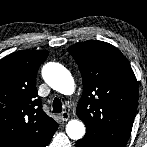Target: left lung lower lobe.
I'll return each instance as SVG.
<instances>
[{
    "label": "left lung lower lobe",
    "instance_id": "0a47b994",
    "mask_svg": "<svg viewBox=\"0 0 147 147\" xmlns=\"http://www.w3.org/2000/svg\"><path fill=\"white\" fill-rule=\"evenodd\" d=\"M76 147H96V146L88 142L86 139L82 138L76 142Z\"/></svg>",
    "mask_w": 147,
    "mask_h": 147
}]
</instances>
